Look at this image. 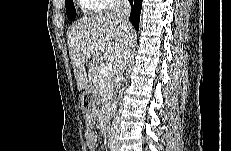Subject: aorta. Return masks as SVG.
Masks as SVG:
<instances>
[{"instance_id":"762f6f07","label":"aorta","mask_w":231,"mask_h":151,"mask_svg":"<svg viewBox=\"0 0 231 151\" xmlns=\"http://www.w3.org/2000/svg\"><path fill=\"white\" fill-rule=\"evenodd\" d=\"M116 104H117V102L114 101V103L112 105V113H114V114H115L116 107H117Z\"/></svg>"}]
</instances>
